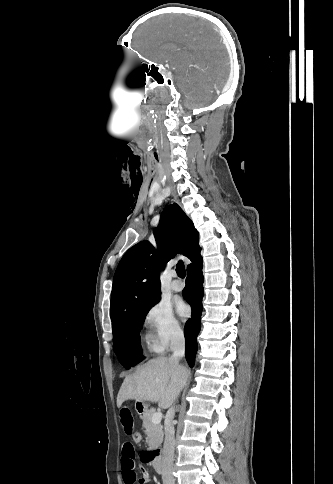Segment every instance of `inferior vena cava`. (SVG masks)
<instances>
[{"instance_id": "602c4592", "label": "inferior vena cava", "mask_w": 333, "mask_h": 484, "mask_svg": "<svg viewBox=\"0 0 333 484\" xmlns=\"http://www.w3.org/2000/svg\"><path fill=\"white\" fill-rule=\"evenodd\" d=\"M170 348L173 351L172 359L179 361L185 354V338L181 329L173 332L170 338ZM175 411L173 408L168 411V422L165 426V440L162 453V481L163 484H175L173 477V461L175 446V430L172 420Z\"/></svg>"}]
</instances>
